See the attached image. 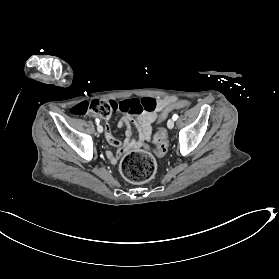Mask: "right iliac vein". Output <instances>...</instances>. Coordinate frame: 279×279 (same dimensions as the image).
<instances>
[{"label": "right iliac vein", "instance_id": "1", "mask_svg": "<svg viewBox=\"0 0 279 279\" xmlns=\"http://www.w3.org/2000/svg\"><path fill=\"white\" fill-rule=\"evenodd\" d=\"M97 131H98L99 133H102V132H103V127H102V125H100V124L97 125Z\"/></svg>", "mask_w": 279, "mask_h": 279}]
</instances>
